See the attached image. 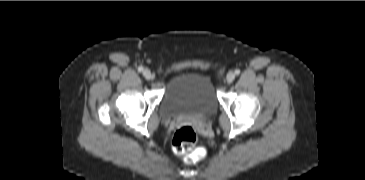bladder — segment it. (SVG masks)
<instances>
[{"label": "bladder", "instance_id": "1", "mask_svg": "<svg viewBox=\"0 0 365 180\" xmlns=\"http://www.w3.org/2000/svg\"><path fill=\"white\" fill-rule=\"evenodd\" d=\"M218 98L211 79L204 73L184 71L167 85L160 107L165 119L205 116L218 108Z\"/></svg>", "mask_w": 365, "mask_h": 180}]
</instances>
